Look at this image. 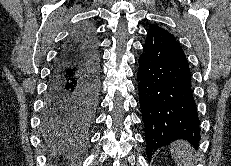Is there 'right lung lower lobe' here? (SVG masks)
Returning <instances> with one entry per match:
<instances>
[{"instance_id": "right-lung-lower-lobe-1", "label": "right lung lower lobe", "mask_w": 231, "mask_h": 166, "mask_svg": "<svg viewBox=\"0 0 231 166\" xmlns=\"http://www.w3.org/2000/svg\"><path fill=\"white\" fill-rule=\"evenodd\" d=\"M97 38L90 27L77 29L61 49L45 96L42 129L64 137L85 131L98 101Z\"/></svg>"}]
</instances>
